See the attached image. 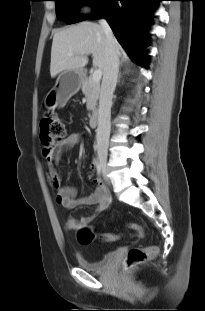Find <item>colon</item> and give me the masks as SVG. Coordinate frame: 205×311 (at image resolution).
Segmentation results:
<instances>
[{
  "label": "colon",
  "instance_id": "colon-1",
  "mask_svg": "<svg viewBox=\"0 0 205 311\" xmlns=\"http://www.w3.org/2000/svg\"><path fill=\"white\" fill-rule=\"evenodd\" d=\"M66 135L65 123L56 115H49L44 117L40 122V140L43 145V154L46 158L50 155L51 147L62 141ZM128 229L134 232L137 236H142L143 231L140 225L130 223L127 225ZM95 234L87 227L82 226L78 229V239L83 245L90 244L95 239ZM103 242H114L119 239L116 234L105 233L99 236ZM158 253L157 247L139 248L133 247L129 249L123 261V267L130 269L134 266L143 264L155 257Z\"/></svg>",
  "mask_w": 205,
  "mask_h": 311
}]
</instances>
